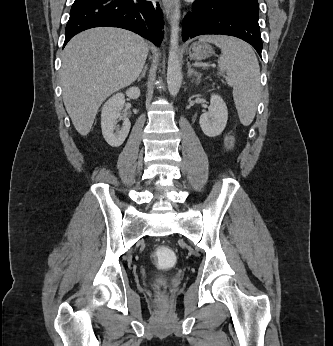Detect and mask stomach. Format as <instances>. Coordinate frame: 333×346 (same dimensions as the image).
Listing matches in <instances>:
<instances>
[{
  "label": "stomach",
  "mask_w": 333,
  "mask_h": 346,
  "mask_svg": "<svg viewBox=\"0 0 333 346\" xmlns=\"http://www.w3.org/2000/svg\"><path fill=\"white\" fill-rule=\"evenodd\" d=\"M186 52L193 60H204L214 53L212 46L205 42H195L191 44L186 49Z\"/></svg>",
  "instance_id": "0dacf381"
}]
</instances>
